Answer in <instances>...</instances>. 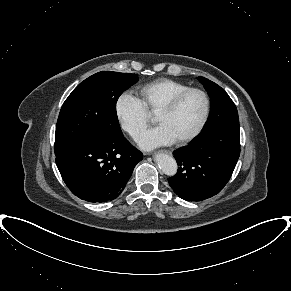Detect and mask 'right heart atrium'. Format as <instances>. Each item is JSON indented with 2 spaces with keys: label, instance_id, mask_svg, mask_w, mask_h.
<instances>
[{
  "label": "right heart atrium",
  "instance_id": "d8ad5b80",
  "mask_svg": "<svg viewBox=\"0 0 291 291\" xmlns=\"http://www.w3.org/2000/svg\"><path fill=\"white\" fill-rule=\"evenodd\" d=\"M115 113L122 129L132 138H137L149 122V113L144 104L130 92H123L118 96Z\"/></svg>",
  "mask_w": 291,
  "mask_h": 291
}]
</instances>
